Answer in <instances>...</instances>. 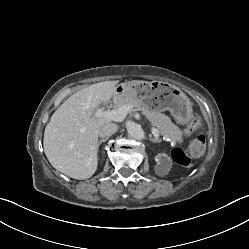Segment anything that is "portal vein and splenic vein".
Returning a JSON list of instances; mask_svg holds the SVG:
<instances>
[{
    "label": "portal vein and splenic vein",
    "instance_id": "portal-vein-and-splenic-vein-1",
    "mask_svg": "<svg viewBox=\"0 0 249 249\" xmlns=\"http://www.w3.org/2000/svg\"><path fill=\"white\" fill-rule=\"evenodd\" d=\"M133 110V107L131 105H124L120 108L114 109V110H108V111H103L102 109H98L95 112L96 117H104L113 121H123L127 114ZM151 131L153 135L158 138L159 137V132L156 128L152 127Z\"/></svg>",
    "mask_w": 249,
    "mask_h": 249
}]
</instances>
